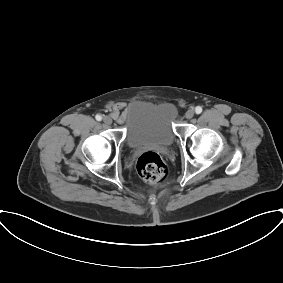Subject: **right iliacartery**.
I'll use <instances>...</instances> for the list:
<instances>
[{"label": "right iliac artery", "instance_id": "obj_1", "mask_svg": "<svg viewBox=\"0 0 283 283\" xmlns=\"http://www.w3.org/2000/svg\"><path fill=\"white\" fill-rule=\"evenodd\" d=\"M95 118H96L97 121H101L102 120V116L101 115H96Z\"/></svg>", "mask_w": 283, "mask_h": 283}]
</instances>
